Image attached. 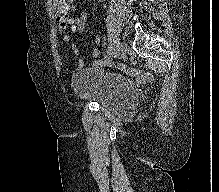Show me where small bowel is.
<instances>
[{"label": "small bowel", "instance_id": "small-bowel-1", "mask_svg": "<svg viewBox=\"0 0 219 192\" xmlns=\"http://www.w3.org/2000/svg\"><path fill=\"white\" fill-rule=\"evenodd\" d=\"M72 2V0H65V3L61 7H56L57 9V18L60 20V28L62 30H66L68 27H70L71 33H83L85 30L86 21L88 18V12L82 11L78 15L70 17V13L75 11V7L70 5L69 3ZM67 41H69V36L66 37ZM95 43L100 44L101 38L99 36L95 37ZM71 50L74 54H79V49L75 44H71ZM101 52L99 49H94L92 51V56L95 58L94 65L99 66L101 65V59H100ZM137 75V73H134ZM149 75L146 73H142L140 78L142 80L148 79Z\"/></svg>", "mask_w": 219, "mask_h": 192}]
</instances>
